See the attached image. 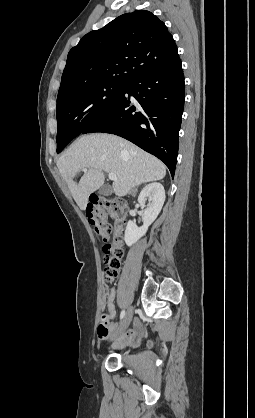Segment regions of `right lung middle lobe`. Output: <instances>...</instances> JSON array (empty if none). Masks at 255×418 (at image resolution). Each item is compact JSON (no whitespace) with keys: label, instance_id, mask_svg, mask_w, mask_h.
I'll return each mask as SVG.
<instances>
[{"label":"right lung middle lobe","instance_id":"1","mask_svg":"<svg viewBox=\"0 0 255 418\" xmlns=\"http://www.w3.org/2000/svg\"><path fill=\"white\" fill-rule=\"evenodd\" d=\"M127 84L99 82L58 94L57 153L94 121L104 116Z\"/></svg>","mask_w":255,"mask_h":418}]
</instances>
